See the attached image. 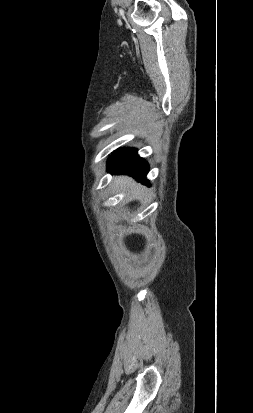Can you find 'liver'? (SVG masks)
Wrapping results in <instances>:
<instances>
[{
    "instance_id": "obj_1",
    "label": "liver",
    "mask_w": 253,
    "mask_h": 413,
    "mask_svg": "<svg viewBox=\"0 0 253 413\" xmlns=\"http://www.w3.org/2000/svg\"><path fill=\"white\" fill-rule=\"evenodd\" d=\"M114 184L118 187L121 186L122 188H129L131 187V194L132 197H140L141 195L144 194V189L143 188H134V183L131 178L125 177V176H118L115 177L114 179Z\"/></svg>"
}]
</instances>
